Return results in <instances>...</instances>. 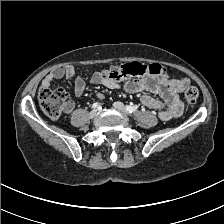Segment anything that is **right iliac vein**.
Segmentation results:
<instances>
[{"label":"right iliac vein","instance_id":"1","mask_svg":"<svg viewBox=\"0 0 224 224\" xmlns=\"http://www.w3.org/2000/svg\"><path fill=\"white\" fill-rule=\"evenodd\" d=\"M97 114V110H92L90 113H89V117L90 118H94Z\"/></svg>","mask_w":224,"mask_h":224}]
</instances>
